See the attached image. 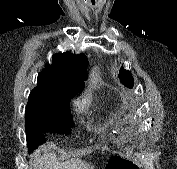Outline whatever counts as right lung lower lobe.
<instances>
[{
	"label": "right lung lower lobe",
	"instance_id": "1",
	"mask_svg": "<svg viewBox=\"0 0 177 169\" xmlns=\"http://www.w3.org/2000/svg\"><path fill=\"white\" fill-rule=\"evenodd\" d=\"M27 136V146L28 148L32 149L33 147H37L39 144L45 141L44 134H29L26 132Z\"/></svg>",
	"mask_w": 177,
	"mask_h": 169
}]
</instances>
